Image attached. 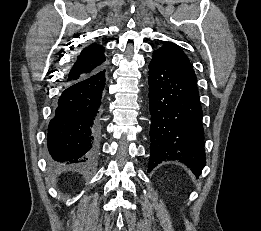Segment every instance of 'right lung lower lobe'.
Returning <instances> with one entry per match:
<instances>
[{"label": "right lung lower lobe", "instance_id": "1", "mask_svg": "<svg viewBox=\"0 0 261 231\" xmlns=\"http://www.w3.org/2000/svg\"><path fill=\"white\" fill-rule=\"evenodd\" d=\"M106 75L103 66L68 83L58 97L47 135L53 164L81 163L95 155Z\"/></svg>", "mask_w": 261, "mask_h": 231}]
</instances>
